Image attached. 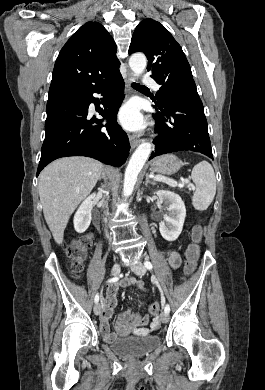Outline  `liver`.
I'll list each match as a JSON object with an SVG mask.
<instances>
[{
  "mask_svg": "<svg viewBox=\"0 0 265 390\" xmlns=\"http://www.w3.org/2000/svg\"><path fill=\"white\" fill-rule=\"evenodd\" d=\"M101 162L81 156L58 159L39 176L43 214L55 242H63L64 230L77 205L87 197L100 178Z\"/></svg>",
  "mask_w": 265,
  "mask_h": 390,
  "instance_id": "1",
  "label": "liver"
}]
</instances>
